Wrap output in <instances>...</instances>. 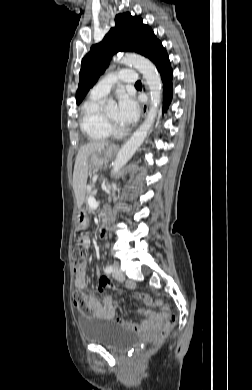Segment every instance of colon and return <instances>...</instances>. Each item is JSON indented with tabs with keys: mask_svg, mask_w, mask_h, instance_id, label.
<instances>
[{
	"mask_svg": "<svg viewBox=\"0 0 252 390\" xmlns=\"http://www.w3.org/2000/svg\"><path fill=\"white\" fill-rule=\"evenodd\" d=\"M82 247V243L79 241L78 245L72 250L73 270L76 274L82 272L86 264V257ZM132 298L134 300H148V297L146 295L140 293L133 294ZM73 299L74 304L84 316L90 317L93 315V311L88 305V297L86 293H84L82 290L77 289L73 294ZM164 312L166 313V318L161 330L157 332L153 337V347H158L164 342L169 331L175 326L177 321L176 315L171 313L169 308H164Z\"/></svg>",
	"mask_w": 252,
	"mask_h": 390,
	"instance_id": "1",
	"label": "colon"
}]
</instances>
